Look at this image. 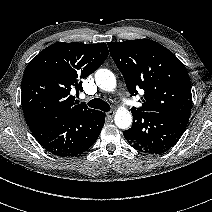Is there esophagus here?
Returning a JSON list of instances; mask_svg holds the SVG:
<instances>
[{
	"mask_svg": "<svg viewBox=\"0 0 212 212\" xmlns=\"http://www.w3.org/2000/svg\"><path fill=\"white\" fill-rule=\"evenodd\" d=\"M114 114H115L114 111H109V112L106 113V116H107L108 118H113Z\"/></svg>",
	"mask_w": 212,
	"mask_h": 212,
	"instance_id": "1",
	"label": "esophagus"
}]
</instances>
